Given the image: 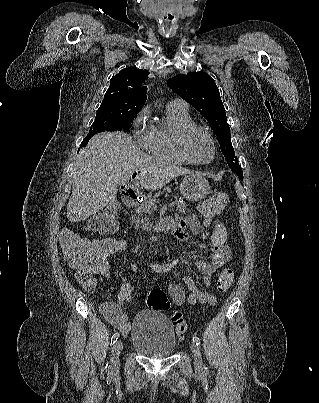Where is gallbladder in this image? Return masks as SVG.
I'll return each mask as SVG.
<instances>
[{
    "label": "gallbladder",
    "mask_w": 319,
    "mask_h": 403,
    "mask_svg": "<svg viewBox=\"0 0 319 403\" xmlns=\"http://www.w3.org/2000/svg\"><path fill=\"white\" fill-rule=\"evenodd\" d=\"M107 210L115 213L116 212V206L114 204L113 205H108Z\"/></svg>",
    "instance_id": "1"
}]
</instances>
